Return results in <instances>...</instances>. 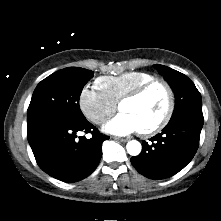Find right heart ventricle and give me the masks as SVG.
<instances>
[{
	"label": "right heart ventricle",
	"instance_id": "right-heart-ventricle-1",
	"mask_svg": "<svg viewBox=\"0 0 221 221\" xmlns=\"http://www.w3.org/2000/svg\"><path fill=\"white\" fill-rule=\"evenodd\" d=\"M154 79L151 73L130 71L117 76H102L96 80L97 88L116 104L140 85Z\"/></svg>",
	"mask_w": 221,
	"mask_h": 221
}]
</instances>
